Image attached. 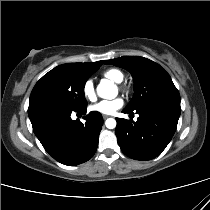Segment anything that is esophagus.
<instances>
[{"label": "esophagus", "mask_w": 210, "mask_h": 210, "mask_svg": "<svg viewBox=\"0 0 210 210\" xmlns=\"http://www.w3.org/2000/svg\"><path fill=\"white\" fill-rule=\"evenodd\" d=\"M102 117H103V119L105 120V119H107L109 116H108V115H103Z\"/></svg>", "instance_id": "esophagus-1"}]
</instances>
